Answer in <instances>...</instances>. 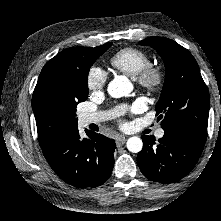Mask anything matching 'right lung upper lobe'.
I'll use <instances>...</instances> for the list:
<instances>
[{
  "label": "right lung upper lobe",
  "mask_w": 221,
  "mask_h": 221,
  "mask_svg": "<svg viewBox=\"0 0 221 221\" xmlns=\"http://www.w3.org/2000/svg\"><path fill=\"white\" fill-rule=\"evenodd\" d=\"M99 47V46H98ZM97 48V47H95ZM92 47H71L58 53L43 67L32 96L41 148L63 132L76 127L74 111L62 100L70 69L78 64Z\"/></svg>",
  "instance_id": "1"
}]
</instances>
